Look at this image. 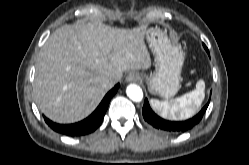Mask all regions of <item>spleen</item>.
<instances>
[{"mask_svg":"<svg viewBox=\"0 0 249 165\" xmlns=\"http://www.w3.org/2000/svg\"><path fill=\"white\" fill-rule=\"evenodd\" d=\"M205 97V82L199 80L196 89L176 98L175 100H151L152 108L163 118L170 120H185L192 117L200 107Z\"/></svg>","mask_w":249,"mask_h":165,"instance_id":"3e777b00","label":"spleen"}]
</instances>
